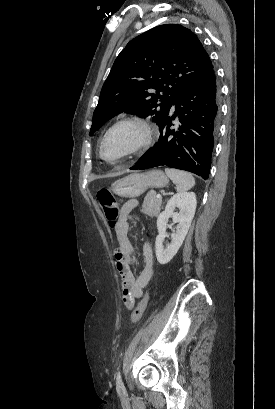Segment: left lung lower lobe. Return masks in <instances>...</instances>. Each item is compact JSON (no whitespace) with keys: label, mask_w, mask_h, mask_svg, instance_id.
Listing matches in <instances>:
<instances>
[{"label":"left lung lower lobe","mask_w":275,"mask_h":409,"mask_svg":"<svg viewBox=\"0 0 275 409\" xmlns=\"http://www.w3.org/2000/svg\"><path fill=\"white\" fill-rule=\"evenodd\" d=\"M220 92L214 68L189 84L160 126L155 146L130 169L157 166L186 170L208 179L220 119ZM176 116L179 125L173 128Z\"/></svg>","instance_id":"1"}]
</instances>
